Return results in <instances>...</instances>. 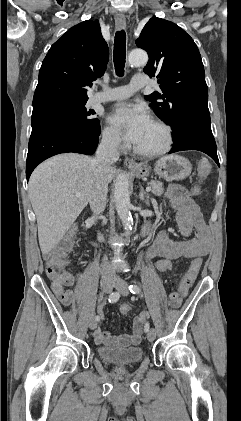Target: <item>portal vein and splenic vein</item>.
Here are the masks:
<instances>
[{
    "label": "portal vein and splenic vein",
    "mask_w": 241,
    "mask_h": 421,
    "mask_svg": "<svg viewBox=\"0 0 241 421\" xmlns=\"http://www.w3.org/2000/svg\"><path fill=\"white\" fill-rule=\"evenodd\" d=\"M150 190H151V187H147V188H146V191H147V192H149ZM79 195H80V193H78V192H77V193H75V196H79Z\"/></svg>",
    "instance_id": "18ae733b"
}]
</instances>
